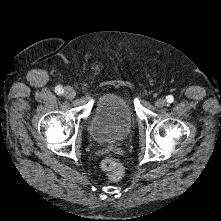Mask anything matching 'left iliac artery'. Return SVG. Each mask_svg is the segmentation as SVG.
I'll use <instances>...</instances> for the list:
<instances>
[{"instance_id":"1","label":"left iliac artery","mask_w":221,"mask_h":221,"mask_svg":"<svg viewBox=\"0 0 221 221\" xmlns=\"http://www.w3.org/2000/svg\"><path fill=\"white\" fill-rule=\"evenodd\" d=\"M166 100H167L168 103H172V102L174 101V98H173L172 95H168V96L166 97Z\"/></svg>"}]
</instances>
